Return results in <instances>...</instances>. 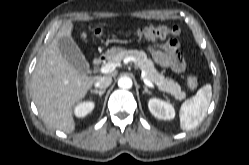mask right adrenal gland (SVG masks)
I'll list each match as a JSON object with an SVG mask.
<instances>
[{"mask_svg":"<svg viewBox=\"0 0 249 165\" xmlns=\"http://www.w3.org/2000/svg\"><path fill=\"white\" fill-rule=\"evenodd\" d=\"M106 92V89L103 90H91V93L98 94L100 97Z\"/></svg>","mask_w":249,"mask_h":165,"instance_id":"1","label":"right adrenal gland"}]
</instances>
